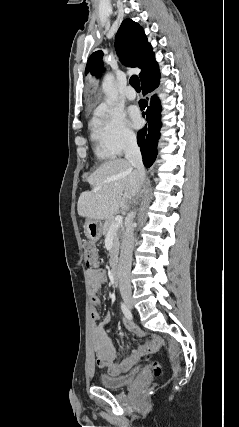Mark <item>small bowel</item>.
I'll list each match as a JSON object with an SVG mask.
<instances>
[{
	"label": "small bowel",
	"instance_id": "obj_1",
	"mask_svg": "<svg viewBox=\"0 0 239 427\" xmlns=\"http://www.w3.org/2000/svg\"><path fill=\"white\" fill-rule=\"evenodd\" d=\"M87 275L91 291L92 309L90 317L93 322L92 341L96 362L98 366L107 368L110 375L117 376L130 370L144 353L156 351L160 345V338L156 335L150 336L132 350L123 360L116 362V344L106 334V326L111 323L112 314L110 312L106 313L103 321L100 324L96 323L99 318L97 309L101 304L98 294L102 287L108 283V276L102 268L90 269ZM125 326L135 337H143V332L134 323L126 320Z\"/></svg>",
	"mask_w": 239,
	"mask_h": 427
}]
</instances>
